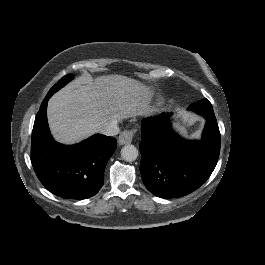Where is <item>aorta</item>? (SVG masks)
<instances>
[{
	"instance_id": "aorta-1",
	"label": "aorta",
	"mask_w": 265,
	"mask_h": 265,
	"mask_svg": "<svg viewBox=\"0 0 265 265\" xmlns=\"http://www.w3.org/2000/svg\"><path fill=\"white\" fill-rule=\"evenodd\" d=\"M121 157L127 162L135 161L138 157V150L134 145L127 144L121 149Z\"/></svg>"
}]
</instances>
